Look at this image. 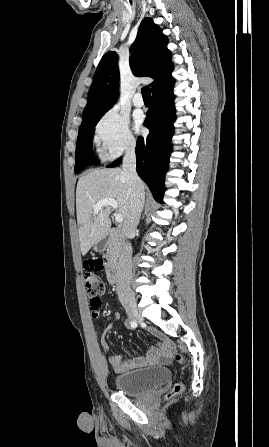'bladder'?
Wrapping results in <instances>:
<instances>
[{"label":"bladder","mask_w":269,"mask_h":447,"mask_svg":"<svg viewBox=\"0 0 269 447\" xmlns=\"http://www.w3.org/2000/svg\"><path fill=\"white\" fill-rule=\"evenodd\" d=\"M170 378L169 368L161 365L116 374L113 377V384L117 392L140 396L145 391H151L163 385Z\"/></svg>","instance_id":"bladder-1"}]
</instances>
